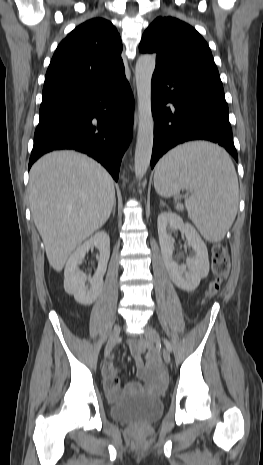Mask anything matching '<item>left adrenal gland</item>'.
<instances>
[{"label":"left adrenal gland","instance_id":"left-adrenal-gland-1","mask_svg":"<svg viewBox=\"0 0 263 465\" xmlns=\"http://www.w3.org/2000/svg\"><path fill=\"white\" fill-rule=\"evenodd\" d=\"M160 204H161L162 206H164V205H165L163 201H160Z\"/></svg>","mask_w":263,"mask_h":465}]
</instances>
